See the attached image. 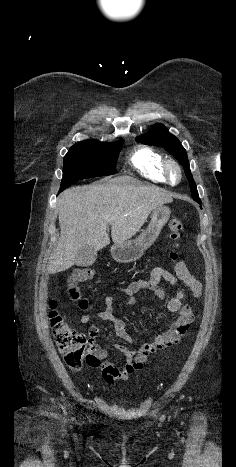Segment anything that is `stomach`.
I'll list each match as a JSON object with an SVG mask.
<instances>
[{
    "label": "stomach",
    "instance_id": "obj_1",
    "mask_svg": "<svg viewBox=\"0 0 236 467\" xmlns=\"http://www.w3.org/2000/svg\"><path fill=\"white\" fill-rule=\"evenodd\" d=\"M171 210L164 205H159L151 214V222L140 236L133 240L114 244L111 247L113 259L120 263H129L138 260L158 238L163 226L167 223Z\"/></svg>",
    "mask_w": 236,
    "mask_h": 467
}]
</instances>
